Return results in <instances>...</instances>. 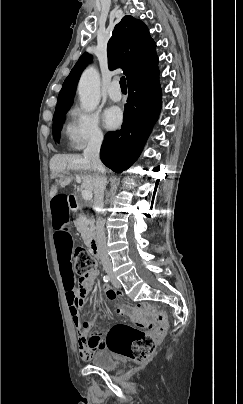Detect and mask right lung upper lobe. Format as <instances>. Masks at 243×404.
<instances>
[{"label":"right lung upper lobe","mask_w":243,"mask_h":404,"mask_svg":"<svg viewBox=\"0 0 243 404\" xmlns=\"http://www.w3.org/2000/svg\"><path fill=\"white\" fill-rule=\"evenodd\" d=\"M155 47L146 25L132 16H124L108 42L109 69L121 67L129 84L157 67ZM91 60V55L84 53L72 68L59 93L55 112L72 105L79 77Z\"/></svg>","instance_id":"1"}]
</instances>
